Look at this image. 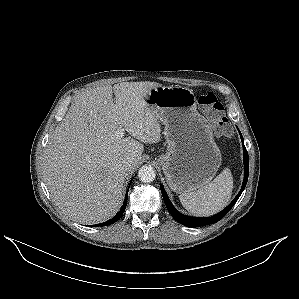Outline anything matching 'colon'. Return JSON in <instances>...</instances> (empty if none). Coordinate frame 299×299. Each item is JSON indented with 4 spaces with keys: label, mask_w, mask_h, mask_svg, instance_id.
Returning a JSON list of instances; mask_svg holds the SVG:
<instances>
[{
    "label": "colon",
    "mask_w": 299,
    "mask_h": 299,
    "mask_svg": "<svg viewBox=\"0 0 299 299\" xmlns=\"http://www.w3.org/2000/svg\"><path fill=\"white\" fill-rule=\"evenodd\" d=\"M198 104L212 124L213 132L217 136L228 137L231 135L232 127L225 116L224 107L213 93L208 92L200 95Z\"/></svg>",
    "instance_id": "1"
}]
</instances>
